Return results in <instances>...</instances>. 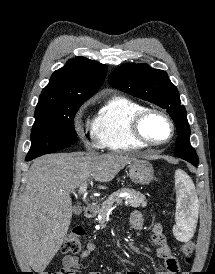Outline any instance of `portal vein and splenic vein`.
<instances>
[{"instance_id":"1","label":"portal vein and splenic vein","mask_w":215,"mask_h":274,"mask_svg":"<svg viewBox=\"0 0 215 274\" xmlns=\"http://www.w3.org/2000/svg\"><path fill=\"white\" fill-rule=\"evenodd\" d=\"M78 193L86 197L87 195V181L83 182L78 190Z\"/></svg>"}]
</instances>
